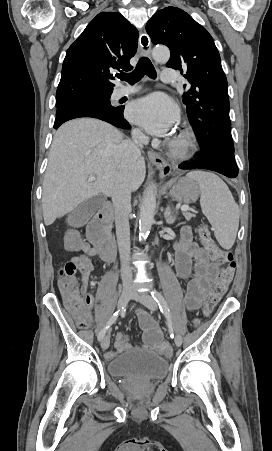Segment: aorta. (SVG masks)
<instances>
[{"mask_svg": "<svg viewBox=\"0 0 272 451\" xmlns=\"http://www.w3.org/2000/svg\"><path fill=\"white\" fill-rule=\"evenodd\" d=\"M152 56L157 62H163V60H169L170 52L168 48H153ZM156 208V192L154 186L148 188L141 204L140 208V235L146 237L148 231L154 222Z\"/></svg>", "mask_w": 272, "mask_h": 451, "instance_id": "1", "label": "aorta"}]
</instances>
